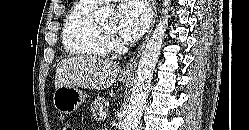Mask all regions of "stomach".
Masks as SVG:
<instances>
[{"label": "stomach", "instance_id": "0dacf381", "mask_svg": "<svg viewBox=\"0 0 249 130\" xmlns=\"http://www.w3.org/2000/svg\"><path fill=\"white\" fill-rule=\"evenodd\" d=\"M123 82L127 78L121 79ZM86 101V96L81 90L73 86H62L55 90L53 102L55 108L64 114L73 113L80 105Z\"/></svg>", "mask_w": 249, "mask_h": 130}]
</instances>
